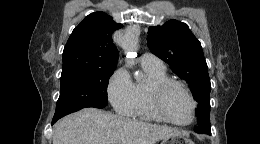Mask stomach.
Segmentation results:
<instances>
[{
	"label": "stomach",
	"instance_id": "1",
	"mask_svg": "<svg viewBox=\"0 0 260 144\" xmlns=\"http://www.w3.org/2000/svg\"><path fill=\"white\" fill-rule=\"evenodd\" d=\"M194 144L191 140L185 138L182 134L171 136L167 139H163L161 144Z\"/></svg>",
	"mask_w": 260,
	"mask_h": 144
}]
</instances>
